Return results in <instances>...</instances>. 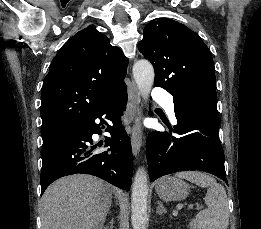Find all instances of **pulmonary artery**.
Returning <instances> with one entry per match:
<instances>
[{"mask_svg": "<svg viewBox=\"0 0 261 229\" xmlns=\"http://www.w3.org/2000/svg\"><path fill=\"white\" fill-rule=\"evenodd\" d=\"M158 87L157 85L155 86ZM152 94V99H161L157 100V105H162L163 112L166 115H169V118L173 124H177V118L174 113V104L175 101L172 100V95L170 91H166V89H154Z\"/></svg>", "mask_w": 261, "mask_h": 229, "instance_id": "e3ab8cb5", "label": "pulmonary artery"}]
</instances>
